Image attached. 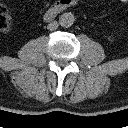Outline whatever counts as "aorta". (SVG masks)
Returning a JSON list of instances; mask_svg holds the SVG:
<instances>
[{"label":"aorta","mask_w":128,"mask_h":128,"mask_svg":"<svg viewBox=\"0 0 128 128\" xmlns=\"http://www.w3.org/2000/svg\"><path fill=\"white\" fill-rule=\"evenodd\" d=\"M74 15L70 12H65L59 17V24L64 28H69L74 23Z\"/></svg>","instance_id":"762f6f07"}]
</instances>
